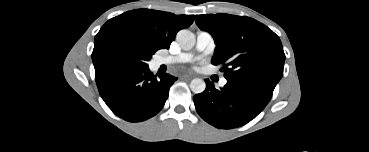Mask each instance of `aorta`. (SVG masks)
I'll return each mask as SVG.
<instances>
[{
	"label": "aorta",
	"instance_id": "aorta-1",
	"mask_svg": "<svg viewBox=\"0 0 369 152\" xmlns=\"http://www.w3.org/2000/svg\"><path fill=\"white\" fill-rule=\"evenodd\" d=\"M176 40L185 50H190L195 45V35L187 29L180 30L176 35ZM205 88L206 84L204 80L200 78H195L190 82V89L195 94L202 93Z\"/></svg>",
	"mask_w": 369,
	"mask_h": 152
}]
</instances>
